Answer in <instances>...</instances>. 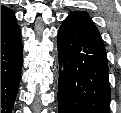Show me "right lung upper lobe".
Segmentation results:
<instances>
[{"instance_id": "1", "label": "right lung upper lobe", "mask_w": 121, "mask_h": 113, "mask_svg": "<svg viewBox=\"0 0 121 113\" xmlns=\"http://www.w3.org/2000/svg\"><path fill=\"white\" fill-rule=\"evenodd\" d=\"M16 24V17L10 8L1 6V33L7 31Z\"/></svg>"}]
</instances>
